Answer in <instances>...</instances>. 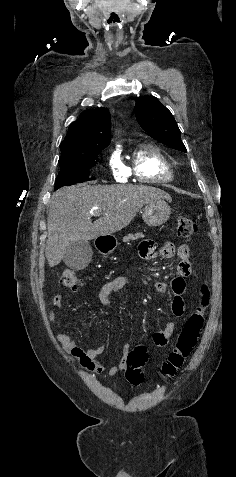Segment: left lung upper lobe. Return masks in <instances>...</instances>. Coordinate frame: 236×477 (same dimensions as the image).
Returning a JSON list of instances; mask_svg holds the SVG:
<instances>
[{"instance_id": "obj_1", "label": "left lung upper lobe", "mask_w": 236, "mask_h": 477, "mask_svg": "<svg viewBox=\"0 0 236 477\" xmlns=\"http://www.w3.org/2000/svg\"><path fill=\"white\" fill-rule=\"evenodd\" d=\"M135 115L138 123L149 136L170 148L187 152L175 119L156 97L139 98L135 105Z\"/></svg>"}]
</instances>
